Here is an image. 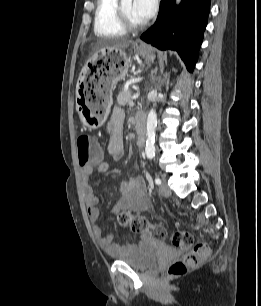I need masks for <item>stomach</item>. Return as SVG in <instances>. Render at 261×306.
<instances>
[{
	"instance_id": "1",
	"label": "stomach",
	"mask_w": 261,
	"mask_h": 306,
	"mask_svg": "<svg viewBox=\"0 0 261 306\" xmlns=\"http://www.w3.org/2000/svg\"><path fill=\"white\" fill-rule=\"evenodd\" d=\"M139 56L153 61L155 54L147 48L137 47ZM130 59L123 50H105L95 53L90 64L100 66L97 78L78 83L77 108L82 124L88 129L100 127L106 120L116 84L128 73Z\"/></svg>"
}]
</instances>
